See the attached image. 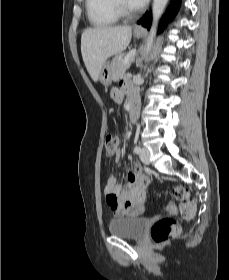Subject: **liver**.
I'll return each instance as SVG.
<instances>
[{"label": "liver", "instance_id": "6515ba94", "mask_svg": "<svg viewBox=\"0 0 229 280\" xmlns=\"http://www.w3.org/2000/svg\"><path fill=\"white\" fill-rule=\"evenodd\" d=\"M132 28L94 27L86 29L81 36V53L86 69L93 81H97L106 60L124 51L130 43Z\"/></svg>", "mask_w": 229, "mask_h": 280}]
</instances>
